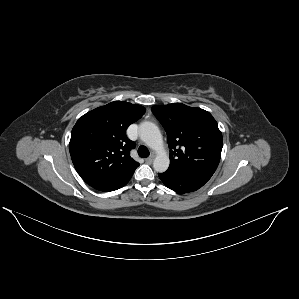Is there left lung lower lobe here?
<instances>
[{
    "label": "left lung lower lobe",
    "mask_w": 299,
    "mask_h": 299,
    "mask_svg": "<svg viewBox=\"0 0 299 299\" xmlns=\"http://www.w3.org/2000/svg\"><path fill=\"white\" fill-rule=\"evenodd\" d=\"M158 176L169 189L177 193L196 191L211 178L202 175L175 176L166 172L158 174Z\"/></svg>",
    "instance_id": "left-lung-lower-lobe-1"
}]
</instances>
